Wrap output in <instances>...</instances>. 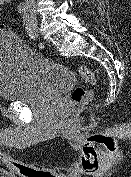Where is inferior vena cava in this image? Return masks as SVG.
I'll return each mask as SVG.
<instances>
[{
  "label": "inferior vena cava",
  "mask_w": 131,
  "mask_h": 177,
  "mask_svg": "<svg viewBox=\"0 0 131 177\" xmlns=\"http://www.w3.org/2000/svg\"><path fill=\"white\" fill-rule=\"evenodd\" d=\"M26 2L29 6H34L35 5V0H26Z\"/></svg>",
  "instance_id": "obj_1"
}]
</instances>
